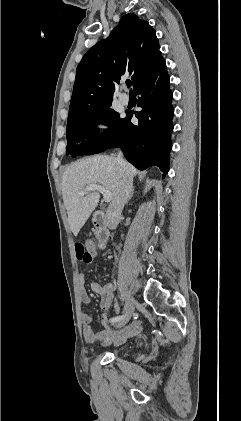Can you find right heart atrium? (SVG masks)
<instances>
[{
    "mask_svg": "<svg viewBox=\"0 0 241 421\" xmlns=\"http://www.w3.org/2000/svg\"><path fill=\"white\" fill-rule=\"evenodd\" d=\"M92 132L95 139H104L110 132V124L106 120H98L93 125Z\"/></svg>",
    "mask_w": 241,
    "mask_h": 421,
    "instance_id": "obj_1",
    "label": "right heart atrium"
}]
</instances>
